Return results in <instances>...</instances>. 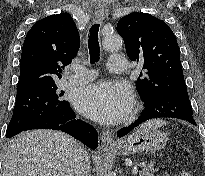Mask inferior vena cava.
<instances>
[{"label":"inferior vena cava","instance_id":"1","mask_svg":"<svg viewBox=\"0 0 205 176\" xmlns=\"http://www.w3.org/2000/svg\"><path fill=\"white\" fill-rule=\"evenodd\" d=\"M74 176H91L90 161L84 147L78 146L75 153Z\"/></svg>","mask_w":205,"mask_h":176}]
</instances>
